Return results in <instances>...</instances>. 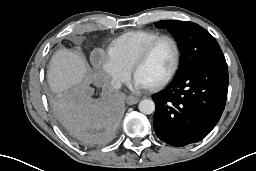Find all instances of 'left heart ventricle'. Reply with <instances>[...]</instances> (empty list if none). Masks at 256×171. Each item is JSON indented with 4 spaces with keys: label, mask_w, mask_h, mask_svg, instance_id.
<instances>
[{
    "label": "left heart ventricle",
    "mask_w": 256,
    "mask_h": 171,
    "mask_svg": "<svg viewBox=\"0 0 256 171\" xmlns=\"http://www.w3.org/2000/svg\"><path fill=\"white\" fill-rule=\"evenodd\" d=\"M174 62V48L170 41L159 42L148 59L138 68L135 78L147 86L162 81L172 69Z\"/></svg>",
    "instance_id": "obj_1"
}]
</instances>
